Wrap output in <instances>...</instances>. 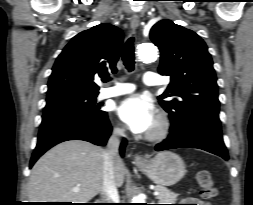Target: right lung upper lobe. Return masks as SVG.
Segmentation results:
<instances>
[{
  "label": "right lung upper lobe",
  "instance_id": "obj_1",
  "mask_svg": "<svg viewBox=\"0 0 253 205\" xmlns=\"http://www.w3.org/2000/svg\"><path fill=\"white\" fill-rule=\"evenodd\" d=\"M123 33L102 23L72 38L58 56L48 82L47 102L72 96L98 95L94 82L116 72Z\"/></svg>",
  "mask_w": 253,
  "mask_h": 205
}]
</instances>
